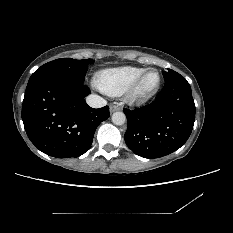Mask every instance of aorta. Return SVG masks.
I'll list each match as a JSON object with an SVG mask.
<instances>
[{"mask_svg": "<svg viewBox=\"0 0 233 233\" xmlns=\"http://www.w3.org/2000/svg\"><path fill=\"white\" fill-rule=\"evenodd\" d=\"M126 121V116L123 112H115L112 115V122L115 125H123Z\"/></svg>", "mask_w": 233, "mask_h": 233, "instance_id": "762f6f07", "label": "aorta"}]
</instances>
